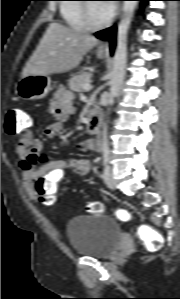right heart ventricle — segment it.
Instances as JSON below:
<instances>
[{
    "instance_id": "e07e8e85",
    "label": "right heart ventricle",
    "mask_w": 180,
    "mask_h": 299,
    "mask_svg": "<svg viewBox=\"0 0 180 299\" xmlns=\"http://www.w3.org/2000/svg\"><path fill=\"white\" fill-rule=\"evenodd\" d=\"M60 7L61 15L67 25L74 29L85 30L87 29L83 19L82 4L73 3L80 0H64Z\"/></svg>"
}]
</instances>
